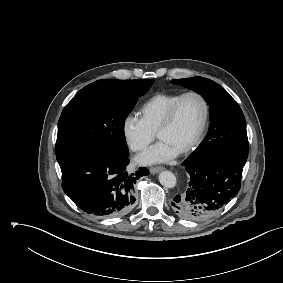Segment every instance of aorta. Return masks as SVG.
Returning <instances> with one entry per match:
<instances>
[{
	"instance_id": "aorta-1",
	"label": "aorta",
	"mask_w": 283,
	"mask_h": 283,
	"mask_svg": "<svg viewBox=\"0 0 283 283\" xmlns=\"http://www.w3.org/2000/svg\"><path fill=\"white\" fill-rule=\"evenodd\" d=\"M159 182L166 188H173L175 187L177 180L172 172L163 171L159 174Z\"/></svg>"
}]
</instances>
